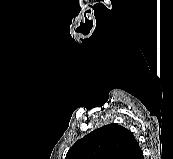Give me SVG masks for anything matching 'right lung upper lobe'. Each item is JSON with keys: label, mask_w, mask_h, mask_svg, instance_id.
I'll list each match as a JSON object with an SVG mask.
<instances>
[{"label": "right lung upper lobe", "mask_w": 173, "mask_h": 159, "mask_svg": "<svg viewBox=\"0 0 173 159\" xmlns=\"http://www.w3.org/2000/svg\"><path fill=\"white\" fill-rule=\"evenodd\" d=\"M65 159H144L134 135L118 124L94 130L78 140Z\"/></svg>", "instance_id": "obj_1"}]
</instances>
